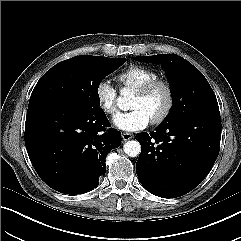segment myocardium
Segmentation results:
<instances>
[{
    "label": "myocardium",
    "mask_w": 241,
    "mask_h": 241,
    "mask_svg": "<svg viewBox=\"0 0 241 241\" xmlns=\"http://www.w3.org/2000/svg\"><path fill=\"white\" fill-rule=\"evenodd\" d=\"M157 88H163L166 93V105L163 110L155 117H153L150 121L152 124H160L164 122L168 116L170 115L174 103H175V93L172 84L164 79L157 78L152 80L143 86L139 87L135 90V94L145 97L152 93Z\"/></svg>",
    "instance_id": "obj_1"
}]
</instances>
